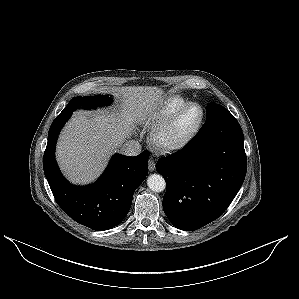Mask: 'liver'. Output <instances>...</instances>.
Here are the masks:
<instances>
[{
  "label": "liver",
  "mask_w": 299,
  "mask_h": 299,
  "mask_svg": "<svg viewBox=\"0 0 299 299\" xmlns=\"http://www.w3.org/2000/svg\"><path fill=\"white\" fill-rule=\"evenodd\" d=\"M121 115L77 112L63 129L57 145V161L75 184L93 182L112 153L131 135L134 122L151 114L161 102L163 90L151 86L123 87Z\"/></svg>",
  "instance_id": "6515ba94"
}]
</instances>
